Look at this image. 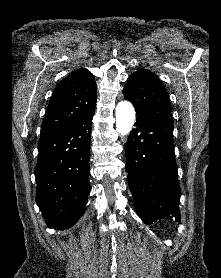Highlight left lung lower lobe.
Masks as SVG:
<instances>
[{"label": "left lung lower lobe", "instance_id": "1", "mask_svg": "<svg viewBox=\"0 0 221 278\" xmlns=\"http://www.w3.org/2000/svg\"><path fill=\"white\" fill-rule=\"evenodd\" d=\"M135 126L125 143V153L137 213L145 224L163 218L181 223L173 120L137 117Z\"/></svg>", "mask_w": 221, "mask_h": 278}]
</instances>
